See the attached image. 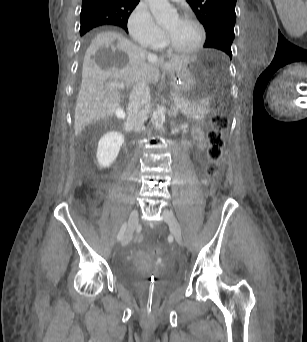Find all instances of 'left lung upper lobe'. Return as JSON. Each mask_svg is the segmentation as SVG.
<instances>
[{
  "instance_id": "obj_1",
  "label": "left lung upper lobe",
  "mask_w": 307,
  "mask_h": 342,
  "mask_svg": "<svg viewBox=\"0 0 307 342\" xmlns=\"http://www.w3.org/2000/svg\"><path fill=\"white\" fill-rule=\"evenodd\" d=\"M206 31L204 47L224 51L232 58L236 0H187Z\"/></svg>"
}]
</instances>
